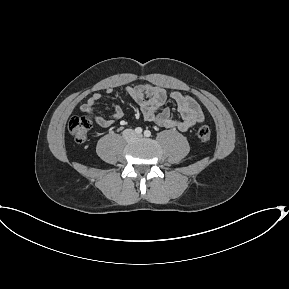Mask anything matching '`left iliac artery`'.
Wrapping results in <instances>:
<instances>
[{"label": "left iliac artery", "mask_w": 289, "mask_h": 289, "mask_svg": "<svg viewBox=\"0 0 289 289\" xmlns=\"http://www.w3.org/2000/svg\"><path fill=\"white\" fill-rule=\"evenodd\" d=\"M144 136L150 137L151 136V132L149 130H145L144 131Z\"/></svg>", "instance_id": "1"}]
</instances>
